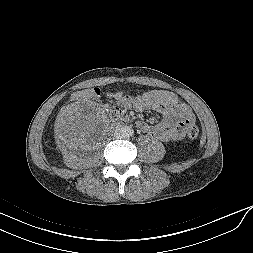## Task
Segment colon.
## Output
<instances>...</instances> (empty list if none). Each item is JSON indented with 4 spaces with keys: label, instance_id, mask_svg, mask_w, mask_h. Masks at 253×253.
I'll use <instances>...</instances> for the list:
<instances>
[{
    "label": "colon",
    "instance_id": "5ec220e1",
    "mask_svg": "<svg viewBox=\"0 0 253 253\" xmlns=\"http://www.w3.org/2000/svg\"><path fill=\"white\" fill-rule=\"evenodd\" d=\"M100 95V90L98 88H91L87 90H79L71 94L72 100L85 98H94ZM199 134V129L195 124H191L187 129V135L190 138H196Z\"/></svg>",
    "mask_w": 253,
    "mask_h": 253
}]
</instances>
